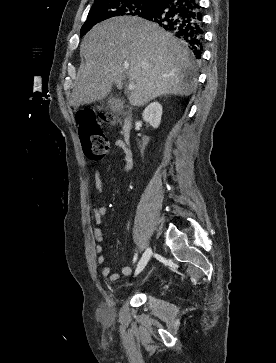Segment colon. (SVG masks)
<instances>
[{
  "mask_svg": "<svg viewBox=\"0 0 276 363\" xmlns=\"http://www.w3.org/2000/svg\"><path fill=\"white\" fill-rule=\"evenodd\" d=\"M113 116L101 114L99 118L91 111L78 114L82 146L85 155L91 160L102 158L109 149V140L101 127V122H112Z\"/></svg>",
  "mask_w": 276,
  "mask_h": 363,
  "instance_id": "colon-1",
  "label": "colon"
}]
</instances>
